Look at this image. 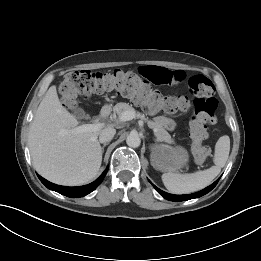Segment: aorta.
I'll return each instance as SVG.
<instances>
[{
    "mask_svg": "<svg viewBox=\"0 0 261 261\" xmlns=\"http://www.w3.org/2000/svg\"><path fill=\"white\" fill-rule=\"evenodd\" d=\"M126 143L129 147L137 148L140 146L141 140L137 133H130L126 138Z\"/></svg>",
    "mask_w": 261,
    "mask_h": 261,
    "instance_id": "1",
    "label": "aorta"
}]
</instances>
